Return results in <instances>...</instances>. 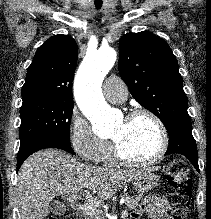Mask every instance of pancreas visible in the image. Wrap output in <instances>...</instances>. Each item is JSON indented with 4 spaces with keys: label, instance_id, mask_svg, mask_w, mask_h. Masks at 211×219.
<instances>
[{
    "label": "pancreas",
    "instance_id": "obj_1",
    "mask_svg": "<svg viewBox=\"0 0 211 219\" xmlns=\"http://www.w3.org/2000/svg\"><path fill=\"white\" fill-rule=\"evenodd\" d=\"M122 198L125 200L126 209L133 210V209L137 208V206H139V202L142 198V195H138L135 197H130L128 195H124ZM99 219H105L103 213H100Z\"/></svg>",
    "mask_w": 211,
    "mask_h": 219
}]
</instances>
